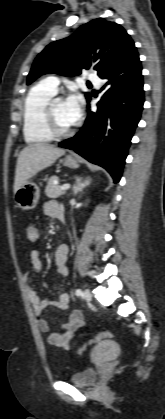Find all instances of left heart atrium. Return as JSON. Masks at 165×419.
Returning <instances> with one entry per match:
<instances>
[{
    "label": "left heart atrium",
    "mask_w": 165,
    "mask_h": 419,
    "mask_svg": "<svg viewBox=\"0 0 165 419\" xmlns=\"http://www.w3.org/2000/svg\"><path fill=\"white\" fill-rule=\"evenodd\" d=\"M65 110L68 118L73 122L76 123L81 115L83 110V98L82 96L77 93H71L65 100Z\"/></svg>",
    "instance_id": "39dd6f15"
}]
</instances>
